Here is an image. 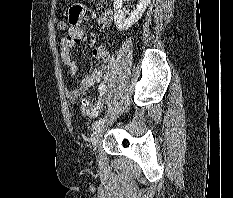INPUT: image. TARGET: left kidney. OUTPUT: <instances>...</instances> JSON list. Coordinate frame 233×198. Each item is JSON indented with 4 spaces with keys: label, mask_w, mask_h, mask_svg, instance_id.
Segmentation results:
<instances>
[{
    "label": "left kidney",
    "mask_w": 233,
    "mask_h": 198,
    "mask_svg": "<svg viewBox=\"0 0 233 198\" xmlns=\"http://www.w3.org/2000/svg\"><path fill=\"white\" fill-rule=\"evenodd\" d=\"M114 1V23L120 31L126 30L136 23L143 15L151 0H139L136 7L130 13L123 7L126 0Z\"/></svg>",
    "instance_id": "5707ae66"
}]
</instances>
